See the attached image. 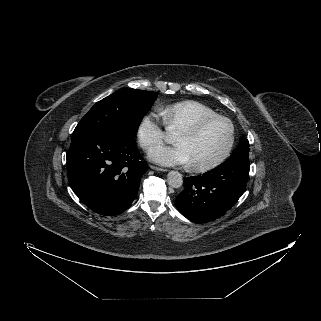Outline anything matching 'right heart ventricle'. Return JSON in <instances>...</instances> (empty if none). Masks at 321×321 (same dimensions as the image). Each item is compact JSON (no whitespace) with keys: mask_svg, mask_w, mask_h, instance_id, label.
<instances>
[{"mask_svg":"<svg viewBox=\"0 0 321 321\" xmlns=\"http://www.w3.org/2000/svg\"><path fill=\"white\" fill-rule=\"evenodd\" d=\"M163 122L168 129H178L188 126L201 117L216 114L208 105L195 101L185 100L166 106L160 110Z\"/></svg>","mask_w":321,"mask_h":321,"instance_id":"right-heart-ventricle-1","label":"right heart ventricle"}]
</instances>
